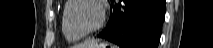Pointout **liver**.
I'll return each mask as SVG.
<instances>
[{
	"label": "liver",
	"mask_w": 213,
	"mask_h": 48,
	"mask_svg": "<svg viewBox=\"0 0 213 48\" xmlns=\"http://www.w3.org/2000/svg\"><path fill=\"white\" fill-rule=\"evenodd\" d=\"M97 43V40H86L75 48H88L93 47Z\"/></svg>",
	"instance_id": "1"
}]
</instances>
